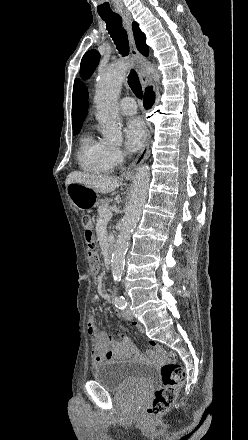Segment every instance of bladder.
Listing matches in <instances>:
<instances>
[{
  "mask_svg": "<svg viewBox=\"0 0 248 440\" xmlns=\"http://www.w3.org/2000/svg\"><path fill=\"white\" fill-rule=\"evenodd\" d=\"M93 379L112 392L122 390H148L154 380L152 367L134 360H111L93 370Z\"/></svg>",
  "mask_w": 248,
  "mask_h": 440,
  "instance_id": "31cf9c89",
  "label": "bladder"
}]
</instances>
